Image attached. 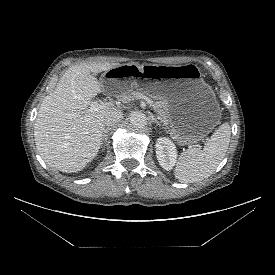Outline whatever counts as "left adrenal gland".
I'll return each instance as SVG.
<instances>
[{
	"label": "left adrenal gland",
	"instance_id": "a2214340",
	"mask_svg": "<svg viewBox=\"0 0 275 275\" xmlns=\"http://www.w3.org/2000/svg\"><path fill=\"white\" fill-rule=\"evenodd\" d=\"M151 122L156 123L159 127L161 126L159 121L154 116H151Z\"/></svg>",
	"mask_w": 275,
	"mask_h": 275
}]
</instances>
